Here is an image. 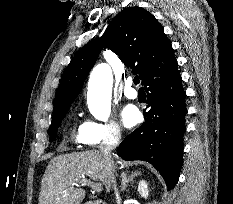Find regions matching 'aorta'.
<instances>
[{
  "label": "aorta",
  "instance_id": "762f6f07",
  "mask_svg": "<svg viewBox=\"0 0 233 204\" xmlns=\"http://www.w3.org/2000/svg\"><path fill=\"white\" fill-rule=\"evenodd\" d=\"M113 76L111 68L105 64H98L91 72L87 104L90 113L100 121L106 122L111 112Z\"/></svg>",
  "mask_w": 233,
  "mask_h": 204
}]
</instances>
